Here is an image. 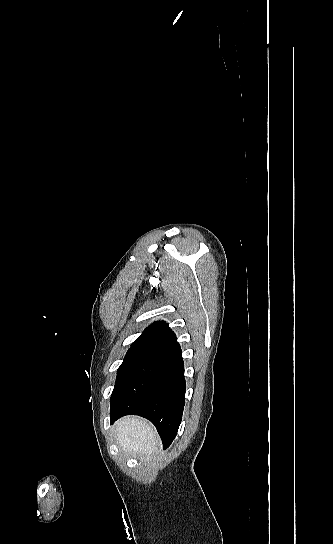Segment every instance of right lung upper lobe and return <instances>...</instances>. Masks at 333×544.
<instances>
[{
	"label": "right lung upper lobe",
	"mask_w": 333,
	"mask_h": 544,
	"mask_svg": "<svg viewBox=\"0 0 333 544\" xmlns=\"http://www.w3.org/2000/svg\"><path fill=\"white\" fill-rule=\"evenodd\" d=\"M174 339H176V335L168 324L165 321H156L149 325L131 344V348L153 349Z\"/></svg>",
	"instance_id": "1"
}]
</instances>
